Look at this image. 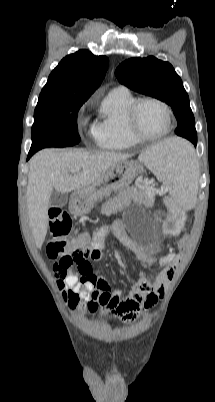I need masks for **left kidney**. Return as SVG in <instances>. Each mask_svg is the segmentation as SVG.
I'll return each instance as SVG.
<instances>
[{"mask_svg": "<svg viewBox=\"0 0 215 402\" xmlns=\"http://www.w3.org/2000/svg\"><path fill=\"white\" fill-rule=\"evenodd\" d=\"M172 214L173 215H179V209L177 207L172 209ZM185 224V219L184 218H179L178 221L177 220H166L164 222V227L166 229H171L170 233L173 236L178 235L179 231H181L182 226Z\"/></svg>", "mask_w": 215, "mask_h": 402, "instance_id": "5707ae66", "label": "left kidney"}]
</instances>
